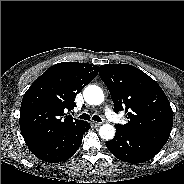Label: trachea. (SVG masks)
<instances>
[{
    "mask_svg": "<svg viewBox=\"0 0 184 184\" xmlns=\"http://www.w3.org/2000/svg\"><path fill=\"white\" fill-rule=\"evenodd\" d=\"M78 118L83 120H90V116L86 113L81 114ZM92 119L97 122H102L101 118L98 115H94Z\"/></svg>",
    "mask_w": 184,
    "mask_h": 184,
    "instance_id": "obj_1",
    "label": "trachea"
}]
</instances>
